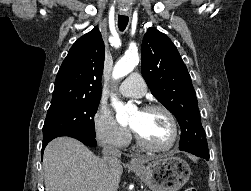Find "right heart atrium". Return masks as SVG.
Segmentation results:
<instances>
[{"mask_svg":"<svg viewBox=\"0 0 251 191\" xmlns=\"http://www.w3.org/2000/svg\"><path fill=\"white\" fill-rule=\"evenodd\" d=\"M92 129L96 141L101 146L122 148L131 140V133L125 126L117 122L112 114L99 106L92 116Z\"/></svg>","mask_w":251,"mask_h":191,"instance_id":"1","label":"right heart atrium"}]
</instances>
